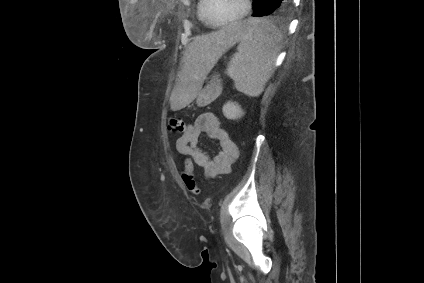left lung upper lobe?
Returning <instances> with one entry per match:
<instances>
[{"instance_id": "5c2ea615", "label": "left lung upper lobe", "mask_w": 424, "mask_h": 283, "mask_svg": "<svg viewBox=\"0 0 424 283\" xmlns=\"http://www.w3.org/2000/svg\"><path fill=\"white\" fill-rule=\"evenodd\" d=\"M255 1H257V0H253V6H254V4H255ZM281 12H283L282 10H280V11H278V12H276V13H281Z\"/></svg>"}]
</instances>
